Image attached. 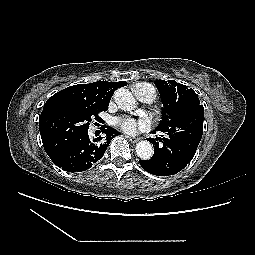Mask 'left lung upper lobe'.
Segmentation results:
<instances>
[{
  "label": "left lung upper lobe",
  "mask_w": 255,
  "mask_h": 255,
  "mask_svg": "<svg viewBox=\"0 0 255 255\" xmlns=\"http://www.w3.org/2000/svg\"><path fill=\"white\" fill-rule=\"evenodd\" d=\"M155 84L159 90L164 105L162 120L159 127H168L184 118L193 122L196 112L203 110L198 95L193 89L174 80H157Z\"/></svg>",
  "instance_id": "left-lung-upper-lobe-1"
}]
</instances>
